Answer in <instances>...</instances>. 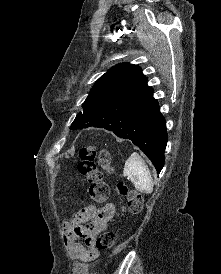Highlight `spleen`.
<instances>
[{
    "mask_svg": "<svg viewBox=\"0 0 221 274\" xmlns=\"http://www.w3.org/2000/svg\"><path fill=\"white\" fill-rule=\"evenodd\" d=\"M123 172L130 178L136 190L147 194L153 191V179L150 170L138 153L133 152L127 159Z\"/></svg>",
    "mask_w": 221,
    "mask_h": 274,
    "instance_id": "obj_1",
    "label": "spleen"
}]
</instances>
